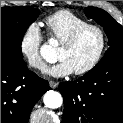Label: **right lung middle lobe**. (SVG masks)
<instances>
[{
  "instance_id": "right-lung-middle-lobe-1",
  "label": "right lung middle lobe",
  "mask_w": 123,
  "mask_h": 123,
  "mask_svg": "<svg viewBox=\"0 0 123 123\" xmlns=\"http://www.w3.org/2000/svg\"><path fill=\"white\" fill-rule=\"evenodd\" d=\"M39 13L38 9L24 6L1 8V53L23 58L21 51L23 36Z\"/></svg>"
}]
</instances>
